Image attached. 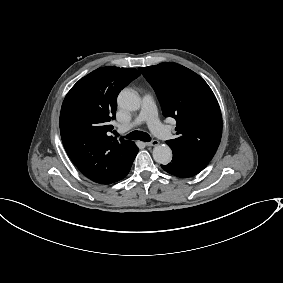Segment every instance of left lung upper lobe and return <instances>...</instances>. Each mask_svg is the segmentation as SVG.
I'll use <instances>...</instances> for the list:
<instances>
[{
  "label": "left lung upper lobe",
  "mask_w": 283,
  "mask_h": 283,
  "mask_svg": "<svg viewBox=\"0 0 283 283\" xmlns=\"http://www.w3.org/2000/svg\"><path fill=\"white\" fill-rule=\"evenodd\" d=\"M139 70L155 90L163 115L177 122L178 137L166 143L172 149L211 160L221 140L222 116L208 84L173 62Z\"/></svg>",
  "instance_id": "left-lung-upper-lobe-1"
}]
</instances>
